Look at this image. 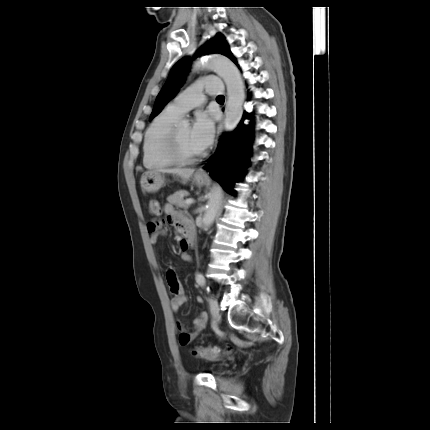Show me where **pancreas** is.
Segmentation results:
<instances>
[{
  "label": "pancreas",
  "instance_id": "cf45deb5",
  "mask_svg": "<svg viewBox=\"0 0 430 430\" xmlns=\"http://www.w3.org/2000/svg\"><path fill=\"white\" fill-rule=\"evenodd\" d=\"M189 192L186 190H178L174 194L168 196L167 201L175 204L177 207H184L185 201L183 199L184 196H188Z\"/></svg>",
  "mask_w": 430,
  "mask_h": 430
}]
</instances>
